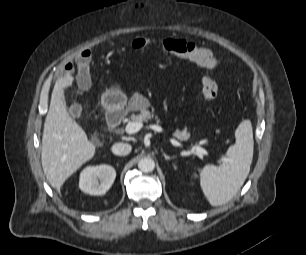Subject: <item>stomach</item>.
<instances>
[{"label":"stomach","mask_w":306,"mask_h":255,"mask_svg":"<svg viewBox=\"0 0 306 255\" xmlns=\"http://www.w3.org/2000/svg\"><path fill=\"white\" fill-rule=\"evenodd\" d=\"M126 103V95L120 89L115 87L107 89L101 96V104L108 111L119 110L123 108Z\"/></svg>","instance_id":"1"}]
</instances>
